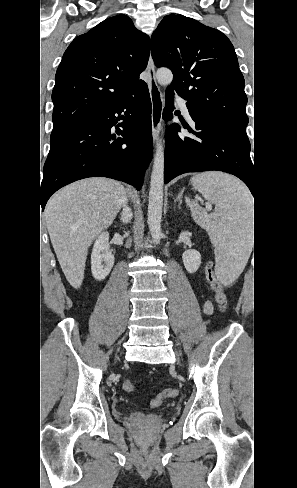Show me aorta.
<instances>
[{
  "label": "aorta",
  "instance_id": "obj_1",
  "mask_svg": "<svg viewBox=\"0 0 297 488\" xmlns=\"http://www.w3.org/2000/svg\"><path fill=\"white\" fill-rule=\"evenodd\" d=\"M160 85H169L173 80V74L169 69L161 68L156 73ZM163 184H164V145L160 139L157 142L154 155L153 169L150 180L149 204H148V226L151 237L159 242L162 237L161 217L163 206Z\"/></svg>",
  "mask_w": 297,
  "mask_h": 488
}]
</instances>
